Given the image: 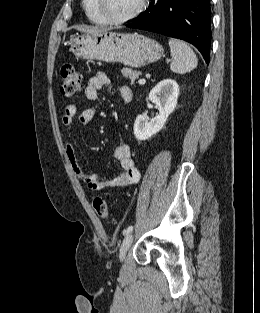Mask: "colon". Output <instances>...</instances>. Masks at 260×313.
I'll return each instance as SVG.
<instances>
[{
  "label": "colon",
  "mask_w": 260,
  "mask_h": 313,
  "mask_svg": "<svg viewBox=\"0 0 260 313\" xmlns=\"http://www.w3.org/2000/svg\"><path fill=\"white\" fill-rule=\"evenodd\" d=\"M83 87L82 77L71 63H66L61 68V94L66 98H71ZM95 212L104 219H109L110 208L106 200L96 197L93 200Z\"/></svg>",
  "instance_id": "obj_1"
}]
</instances>
